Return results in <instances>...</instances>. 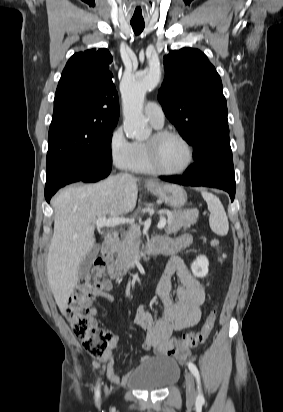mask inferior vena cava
Wrapping results in <instances>:
<instances>
[{"mask_svg":"<svg viewBox=\"0 0 283 412\" xmlns=\"http://www.w3.org/2000/svg\"><path fill=\"white\" fill-rule=\"evenodd\" d=\"M123 176H125V177H128V176H130L129 174H127V173H125V174H122Z\"/></svg>","mask_w":283,"mask_h":412,"instance_id":"inferior-vena-cava-1","label":"inferior vena cava"}]
</instances>
